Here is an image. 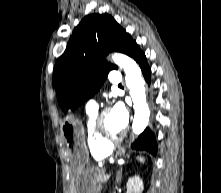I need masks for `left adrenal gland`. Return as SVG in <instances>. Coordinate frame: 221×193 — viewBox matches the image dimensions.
Instances as JSON below:
<instances>
[{
	"label": "left adrenal gland",
	"instance_id": "obj_1",
	"mask_svg": "<svg viewBox=\"0 0 221 193\" xmlns=\"http://www.w3.org/2000/svg\"><path fill=\"white\" fill-rule=\"evenodd\" d=\"M122 179V168H120V170L117 171L116 174V183L120 182Z\"/></svg>",
	"mask_w": 221,
	"mask_h": 193
}]
</instances>
